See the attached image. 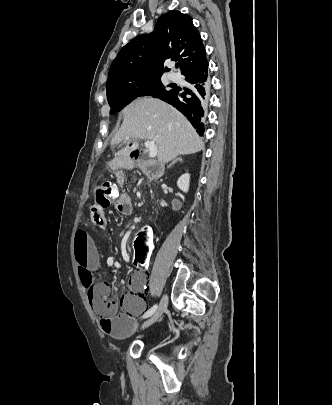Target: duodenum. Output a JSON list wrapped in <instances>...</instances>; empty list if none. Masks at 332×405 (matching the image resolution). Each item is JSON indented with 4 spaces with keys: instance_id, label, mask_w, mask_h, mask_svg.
<instances>
[{
    "instance_id": "410a0bca",
    "label": "duodenum",
    "mask_w": 332,
    "mask_h": 405,
    "mask_svg": "<svg viewBox=\"0 0 332 405\" xmlns=\"http://www.w3.org/2000/svg\"><path fill=\"white\" fill-rule=\"evenodd\" d=\"M131 158H132L133 160H138L139 156H138L137 153L133 152V153H131ZM152 169H153V171L156 172V167H152Z\"/></svg>"
}]
</instances>
